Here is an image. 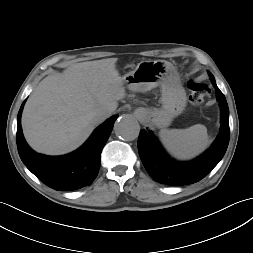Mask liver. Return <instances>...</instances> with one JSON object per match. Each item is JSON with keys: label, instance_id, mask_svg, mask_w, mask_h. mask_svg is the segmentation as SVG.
I'll return each instance as SVG.
<instances>
[{"label": "liver", "instance_id": "liver-1", "mask_svg": "<svg viewBox=\"0 0 253 253\" xmlns=\"http://www.w3.org/2000/svg\"><path fill=\"white\" fill-rule=\"evenodd\" d=\"M117 60L77 63L38 84L22 114L25 139L35 151L61 155L77 149L99 123L94 114L116 110L126 96Z\"/></svg>", "mask_w": 253, "mask_h": 253}]
</instances>
